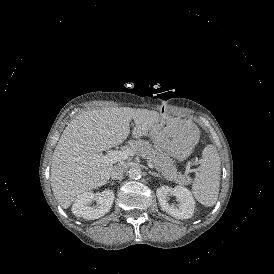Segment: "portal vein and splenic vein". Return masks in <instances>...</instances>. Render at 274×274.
<instances>
[{"mask_svg":"<svg viewBox=\"0 0 274 274\" xmlns=\"http://www.w3.org/2000/svg\"><path fill=\"white\" fill-rule=\"evenodd\" d=\"M134 153L131 152V150H121V151H115L110 150L108 153L104 156L98 155L96 156V160L104 163H117L119 161H122L126 159L128 156H133ZM150 168H154V165L152 163H149Z\"/></svg>","mask_w":274,"mask_h":274,"instance_id":"18ae733b","label":"portal vein and splenic vein"}]
</instances>
